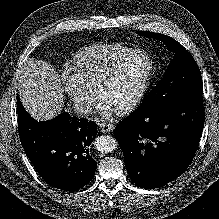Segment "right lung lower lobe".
<instances>
[{
	"label": "right lung lower lobe",
	"instance_id": "1",
	"mask_svg": "<svg viewBox=\"0 0 219 219\" xmlns=\"http://www.w3.org/2000/svg\"><path fill=\"white\" fill-rule=\"evenodd\" d=\"M18 132L26 155L51 186L74 191L88 184L97 167L89 145L97 125L62 112L48 121H36L17 97Z\"/></svg>",
	"mask_w": 219,
	"mask_h": 219
}]
</instances>
